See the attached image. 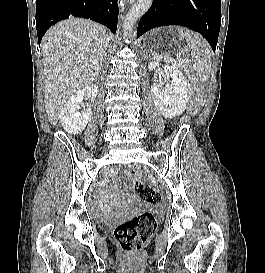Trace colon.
<instances>
[{"label":"colon","instance_id":"obj_1","mask_svg":"<svg viewBox=\"0 0 265 273\" xmlns=\"http://www.w3.org/2000/svg\"><path fill=\"white\" fill-rule=\"evenodd\" d=\"M127 177L133 183L137 198L147 204H156L161 195L148 183L139 181L137 169L127 170ZM156 220L150 212L118 224L114 229V238L122 249L127 251L140 250L156 230Z\"/></svg>","mask_w":265,"mask_h":273}]
</instances>
